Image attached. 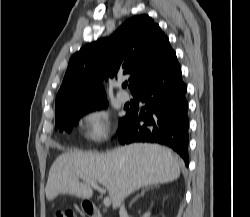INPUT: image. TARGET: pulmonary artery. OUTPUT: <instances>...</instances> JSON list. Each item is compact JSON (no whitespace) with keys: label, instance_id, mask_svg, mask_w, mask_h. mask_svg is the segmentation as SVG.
Here are the masks:
<instances>
[{"label":"pulmonary artery","instance_id":"obj_1","mask_svg":"<svg viewBox=\"0 0 250 217\" xmlns=\"http://www.w3.org/2000/svg\"><path fill=\"white\" fill-rule=\"evenodd\" d=\"M116 96L118 100L122 103H126L130 99V96L126 92H123V91H118Z\"/></svg>","mask_w":250,"mask_h":217}]
</instances>
